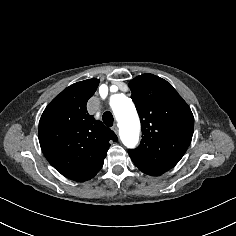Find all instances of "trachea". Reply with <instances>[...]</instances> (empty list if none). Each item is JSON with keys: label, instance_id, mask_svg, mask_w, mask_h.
Segmentation results:
<instances>
[{"label": "trachea", "instance_id": "3493384b", "mask_svg": "<svg viewBox=\"0 0 236 236\" xmlns=\"http://www.w3.org/2000/svg\"><path fill=\"white\" fill-rule=\"evenodd\" d=\"M102 120H103L104 124L108 127H111L114 122L113 115L108 111L103 114Z\"/></svg>", "mask_w": 236, "mask_h": 236}]
</instances>
